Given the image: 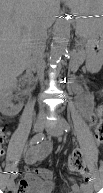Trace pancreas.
<instances>
[{
    "label": "pancreas",
    "instance_id": "pancreas-1",
    "mask_svg": "<svg viewBox=\"0 0 103 193\" xmlns=\"http://www.w3.org/2000/svg\"><path fill=\"white\" fill-rule=\"evenodd\" d=\"M84 22H79V24H80V26H82V24H83ZM77 47H78V55H79V57H84L85 56V51H84V49H83V45H82V42H78L77 43Z\"/></svg>",
    "mask_w": 103,
    "mask_h": 193
}]
</instances>
